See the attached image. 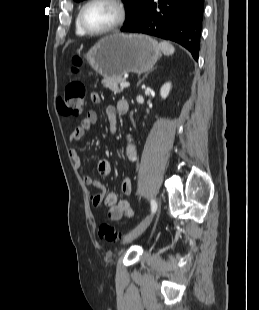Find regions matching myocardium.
<instances>
[{
	"label": "myocardium",
	"instance_id": "myocardium-1",
	"mask_svg": "<svg viewBox=\"0 0 259 310\" xmlns=\"http://www.w3.org/2000/svg\"><path fill=\"white\" fill-rule=\"evenodd\" d=\"M98 1H104V2H108L112 5L115 6V8L118 11V16L117 19L115 20V22H113L110 26L102 29V30H92L89 27H87V25L84 22L83 19V14L85 9L91 5L92 3L98 2ZM78 23L81 27V29L90 36H103V35H107L109 33H112L116 30H118L119 28H121L124 23L126 22L127 19V7L124 4L123 0H88L86 1L83 6L81 7V9L79 10L78 13Z\"/></svg>",
	"mask_w": 259,
	"mask_h": 310
}]
</instances>
